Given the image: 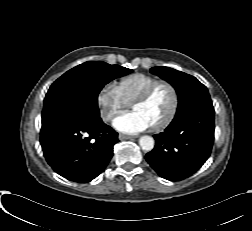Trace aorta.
I'll list each match as a JSON object with an SVG mask.
<instances>
[{"mask_svg": "<svg viewBox=\"0 0 252 231\" xmlns=\"http://www.w3.org/2000/svg\"><path fill=\"white\" fill-rule=\"evenodd\" d=\"M139 144L143 150L151 151L154 148L155 142L153 137L144 135L140 137Z\"/></svg>", "mask_w": 252, "mask_h": 231, "instance_id": "1", "label": "aorta"}]
</instances>
